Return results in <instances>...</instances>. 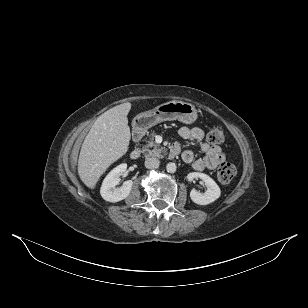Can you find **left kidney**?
I'll return each instance as SVG.
<instances>
[{
  "label": "left kidney",
  "instance_id": "left-kidney-1",
  "mask_svg": "<svg viewBox=\"0 0 308 308\" xmlns=\"http://www.w3.org/2000/svg\"><path fill=\"white\" fill-rule=\"evenodd\" d=\"M187 178L189 181H192L195 178H200L204 181L205 186L207 187V190L204 193H200L195 189L191 190L190 198L194 203L198 205H208L220 197L221 191L219 186L208 175L199 172H191L187 175Z\"/></svg>",
  "mask_w": 308,
  "mask_h": 308
}]
</instances>
